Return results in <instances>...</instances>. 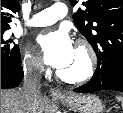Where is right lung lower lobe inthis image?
<instances>
[{"mask_svg": "<svg viewBox=\"0 0 123 113\" xmlns=\"http://www.w3.org/2000/svg\"><path fill=\"white\" fill-rule=\"evenodd\" d=\"M23 79L21 61L16 64L1 62V89L17 87Z\"/></svg>", "mask_w": 123, "mask_h": 113, "instance_id": "98d812e1", "label": "right lung lower lobe"}]
</instances>
